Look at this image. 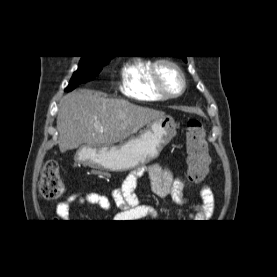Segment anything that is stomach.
<instances>
[{"label":"stomach","instance_id":"0dacf381","mask_svg":"<svg viewBox=\"0 0 277 277\" xmlns=\"http://www.w3.org/2000/svg\"><path fill=\"white\" fill-rule=\"evenodd\" d=\"M176 135V123L164 116L147 124L138 135L119 145L81 146L75 160L92 168L107 171H126L157 158Z\"/></svg>","mask_w":277,"mask_h":277}]
</instances>
